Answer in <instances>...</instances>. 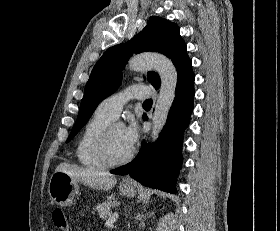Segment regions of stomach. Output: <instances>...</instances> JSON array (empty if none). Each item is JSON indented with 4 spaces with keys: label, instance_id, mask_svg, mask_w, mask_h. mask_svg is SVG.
I'll list each match as a JSON object with an SVG mask.
<instances>
[{
    "label": "stomach",
    "instance_id": "obj_1",
    "mask_svg": "<svg viewBox=\"0 0 280 231\" xmlns=\"http://www.w3.org/2000/svg\"><path fill=\"white\" fill-rule=\"evenodd\" d=\"M79 189V181L72 179L64 171L52 173L48 193L58 205H72L76 195L79 193ZM120 191L122 195H127V197H134L136 195V189L133 185H129V187H122L121 185Z\"/></svg>",
    "mask_w": 280,
    "mask_h": 231
}]
</instances>
